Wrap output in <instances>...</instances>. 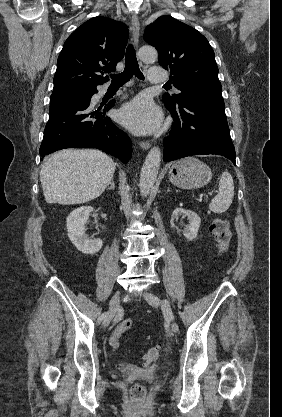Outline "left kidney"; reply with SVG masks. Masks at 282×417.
I'll use <instances>...</instances> for the list:
<instances>
[{
	"mask_svg": "<svg viewBox=\"0 0 282 417\" xmlns=\"http://www.w3.org/2000/svg\"><path fill=\"white\" fill-rule=\"evenodd\" d=\"M179 215H185L189 221V225H187L183 235L188 239V241H194L198 235L201 219L198 217L197 213H194V211H186V209H175L171 215V221L170 225L171 227H175L174 225V219H177Z\"/></svg>",
	"mask_w": 282,
	"mask_h": 417,
	"instance_id": "5707ae66",
	"label": "left kidney"
}]
</instances>
